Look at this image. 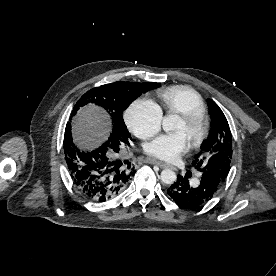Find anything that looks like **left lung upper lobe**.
<instances>
[{
    "label": "left lung upper lobe",
    "mask_w": 276,
    "mask_h": 276,
    "mask_svg": "<svg viewBox=\"0 0 276 276\" xmlns=\"http://www.w3.org/2000/svg\"><path fill=\"white\" fill-rule=\"evenodd\" d=\"M212 118L210 135L201 146V153L192 165L202 174L209 173L217 178L220 187L230 171L232 159V134L225 115L219 106L207 99Z\"/></svg>",
    "instance_id": "obj_1"
}]
</instances>
